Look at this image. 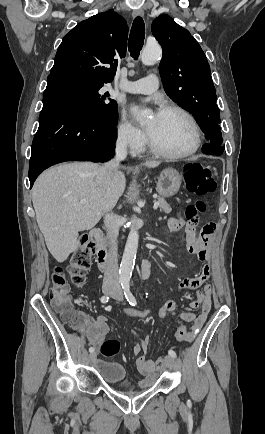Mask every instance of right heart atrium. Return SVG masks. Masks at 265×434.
<instances>
[{
	"label": "right heart atrium",
	"instance_id": "d8ad5b80",
	"mask_svg": "<svg viewBox=\"0 0 265 434\" xmlns=\"http://www.w3.org/2000/svg\"><path fill=\"white\" fill-rule=\"evenodd\" d=\"M120 113H125L124 103H119ZM116 137L113 140L114 148H123L124 154H140L146 149V138L140 132V127L134 126L130 118L119 114L116 123Z\"/></svg>",
	"mask_w": 265,
	"mask_h": 434
}]
</instances>
